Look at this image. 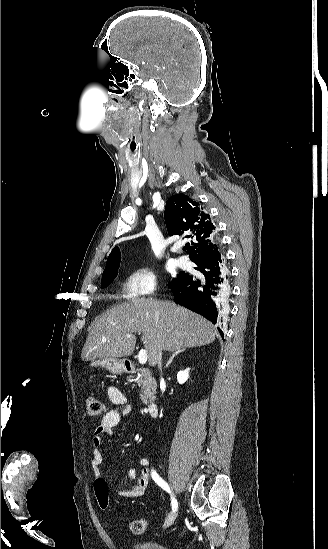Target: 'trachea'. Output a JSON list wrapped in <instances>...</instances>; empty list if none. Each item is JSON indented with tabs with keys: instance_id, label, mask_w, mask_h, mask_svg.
I'll return each instance as SVG.
<instances>
[{
	"instance_id": "1",
	"label": "trachea",
	"mask_w": 328,
	"mask_h": 549,
	"mask_svg": "<svg viewBox=\"0 0 328 549\" xmlns=\"http://www.w3.org/2000/svg\"><path fill=\"white\" fill-rule=\"evenodd\" d=\"M187 248H188V246L186 245V246L184 247V250H186Z\"/></svg>"
}]
</instances>
